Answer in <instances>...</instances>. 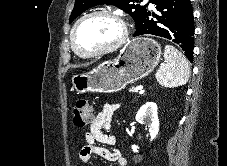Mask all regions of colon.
<instances>
[{
  "label": "colon",
  "instance_id": "obj_1",
  "mask_svg": "<svg viewBox=\"0 0 227 166\" xmlns=\"http://www.w3.org/2000/svg\"><path fill=\"white\" fill-rule=\"evenodd\" d=\"M93 120V109L85 97L75 101L73 107V123L77 128H84Z\"/></svg>",
  "mask_w": 227,
  "mask_h": 166
}]
</instances>
